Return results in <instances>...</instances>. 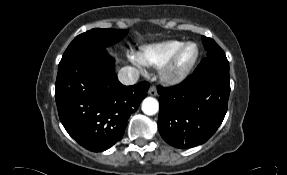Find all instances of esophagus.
<instances>
[{
	"mask_svg": "<svg viewBox=\"0 0 287 175\" xmlns=\"http://www.w3.org/2000/svg\"><path fill=\"white\" fill-rule=\"evenodd\" d=\"M148 94L151 96H157V88L155 85L150 86Z\"/></svg>",
	"mask_w": 287,
	"mask_h": 175,
	"instance_id": "1",
	"label": "esophagus"
}]
</instances>
